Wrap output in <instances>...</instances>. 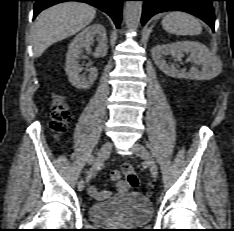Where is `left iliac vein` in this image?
I'll return each mask as SVG.
<instances>
[{
	"instance_id": "obj_1",
	"label": "left iliac vein",
	"mask_w": 234,
	"mask_h": 231,
	"mask_svg": "<svg viewBox=\"0 0 234 231\" xmlns=\"http://www.w3.org/2000/svg\"><path fill=\"white\" fill-rule=\"evenodd\" d=\"M133 150L135 151L137 156H139L141 159H143L146 162V164L150 169L152 177L156 179L158 175V167L155 159L150 154V152L140 143H135L133 145Z\"/></svg>"
}]
</instances>
